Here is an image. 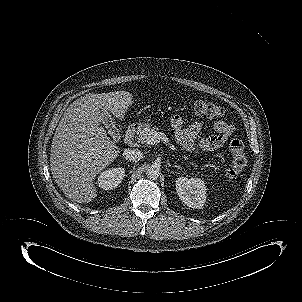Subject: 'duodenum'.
I'll use <instances>...</instances> for the list:
<instances>
[{"mask_svg": "<svg viewBox=\"0 0 302 302\" xmlns=\"http://www.w3.org/2000/svg\"><path fill=\"white\" fill-rule=\"evenodd\" d=\"M141 129L142 126L138 123L130 125L126 131L124 141L126 143L130 142L134 138V136L141 131Z\"/></svg>", "mask_w": 302, "mask_h": 302, "instance_id": "1", "label": "duodenum"}]
</instances>
